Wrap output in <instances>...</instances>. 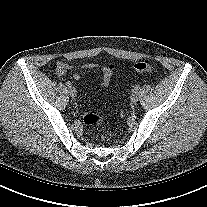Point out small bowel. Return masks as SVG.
Instances as JSON below:
<instances>
[{
  "label": "small bowel",
  "mask_w": 207,
  "mask_h": 207,
  "mask_svg": "<svg viewBox=\"0 0 207 207\" xmlns=\"http://www.w3.org/2000/svg\"><path fill=\"white\" fill-rule=\"evenodd\" d=\"M80 68L83 69H98L102 73V78H101V85L103 87H108L110 85L112 75L115 69V66L113 64L109 65H104L100 66L96 63H84L79 66ZM73 67L70 66L67 63L64 62H58L55 68V73L58 76H64L68 71H70ZM73 79L74 80H79L81 78L80 74L75 72L73 73Z\"/></svg>",
  "instance_id": "c3829d8e"
}]
</instances>
